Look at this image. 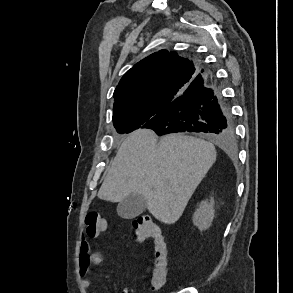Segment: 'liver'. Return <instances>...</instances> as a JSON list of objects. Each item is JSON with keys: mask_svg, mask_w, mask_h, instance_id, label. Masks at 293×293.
<instances>
[{"mask_svg": "<svg viewBox=\"0 0 293 293\" xmlns=\"http://www.w3.org/2000/svg\"><path fill=\"white\" fill-rule=\"evenodd\" d=\"M215 160L210 142L183 134L158 140L154 131L138 129L118 149L98 197L115 203L140 194L156 219L173 224Z\"/></svg>", "mask_w": 293, "mask_h": 293, "instance_id": "6515ba94", "label": "liver"}]
</instances>
